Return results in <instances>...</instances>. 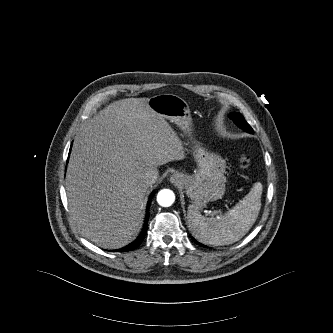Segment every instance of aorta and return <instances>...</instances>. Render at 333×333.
<instances>
[{"mask_svg": "<svg viewBox=\"0 0 333 333\" xmlns=\"http://www.w3.org/2000/svg\"><path fill=\"white\" fill-rule=\"evenodd\" d=\"M175 201V194L172 190L163 189L157 195V202L162 207H169Z\"/></svg>", "mask_w": 333, "mask_h": 333, "instance_id": "762f6f07", "label": "aorta"}]
</instances>
